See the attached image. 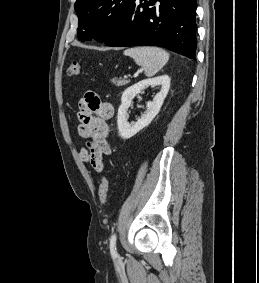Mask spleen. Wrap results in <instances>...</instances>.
Listing matches in <instances>:
<instances>
[{"mask_svg":"<svg viewBox=\"0 0 259 283\" xmlns=\"http://www.w3.org/2000/svg\"><path fill=\"white\" fill-rule=\"evenodd\" d=\"M124 55L134 59L143 67L145 75L152 77L158 73L169 60V54L159 47H134L124 51Z\"/></svg>","mask_w":259,"mask_h":283,"instance_id":"3e777b00","label":"spleen"}]
</instances>
